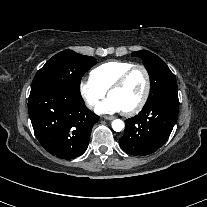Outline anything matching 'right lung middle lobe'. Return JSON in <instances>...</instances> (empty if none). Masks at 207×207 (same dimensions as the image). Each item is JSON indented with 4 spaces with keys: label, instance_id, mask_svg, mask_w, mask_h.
Returning <instances> with one entry per match:
<instances>
[{
    "label": "right lung middle lobe",
    "instance_id": "right-lung-middle-lobe-1",
    "mask_svg": "<svg viewBox=\"0 0 207 207\" xmlns=\"http://www.w3.org/2000/svg\"><path fill=\"white\" fill-rule=\"evenodd\" d=\"M95 64V58L64 50L49 59L36 73L31 89L39 86H57L81 97V78Z\"/></svg>",
    "mask_w": 207,
    "mask_h": 207
}]
</instances>
